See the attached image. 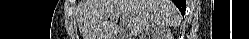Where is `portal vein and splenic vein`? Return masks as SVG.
Here are the masks:
<instances>
[{
	"instance_id": "18ae733b",
	"label": "portal vein and splenic vein",
	"mask_w": 249,
	"mask_h": 39,
	"mask_svg": "<svg viewBox=\"0 0 249 39\" xmlns=\"http://www.w3.org/2000/svg\"><path fill=\"white\" fill-rule=\"evenodd\" d=\"M123 23L125 24L126 27L129 26L128 23L125 20H123Z\"/></svg>"
}]
</instances>
